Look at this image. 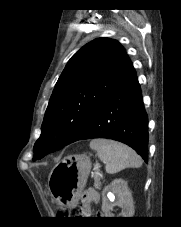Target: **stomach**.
I'll return each mask as SVG.
<instances>
[{"label":"stomach","mask_w":181,"mask_h":227,"mask_svg":"<svg viewBox=\"0 0 181 227\" xmlns=\"http://www.w3.org/2000/svg\"><path fill=\"white\" fill-rule=\"evenodd\" d=\"M91 166L86 154L68 156L54 166L48 178V189L59 205L70 208L76 204Z\"/></svg>","instance_id":"1"}]
</instances>
